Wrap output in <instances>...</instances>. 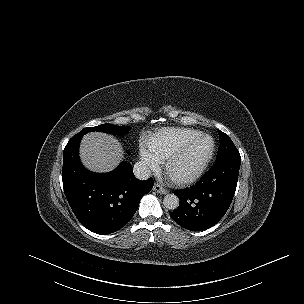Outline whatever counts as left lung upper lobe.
<instances>
[{
    "mask_svg": "<svg viewBox=\"0 0 304 304\" xmlns=\"http://www.w3.org/2000/svg\"><path fill=\"white\" fill-rule=\"evenodd\" d=\"M220 146L216 162L222 161L230 157L240 156L239 151L235 147L233 141L224 132L218 130Z\"/></svg>",
    "mask_w": 304,
    "mask_h": 304,
    "instance_id": "1",
    "label": "left lung upper lobe"
}]
</instances>
